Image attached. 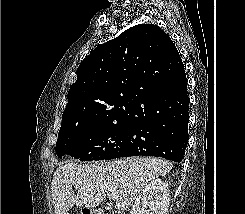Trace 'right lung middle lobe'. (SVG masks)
Returning <instances> with one entry per match:
<instances>
[{
	"instance_id": "1",
	"label": "right lung middle lobe",
	"mask_w": 245,
	"mask_h": 214,
	"mask_svg": "<svg viewBox=\"0 0 245 214\" xmlns=\"http://www.w3.org/2000/svg\"><path fill=\"white\" fill-rule=\"evenodd\" d=\"M133 118L134 114H128L92 121L79 116H62L57 156L62 158L68 154L81 161L114 159L126 143Z\"/></svg>"
}]
</instances>
